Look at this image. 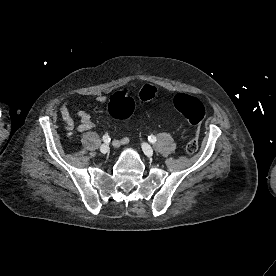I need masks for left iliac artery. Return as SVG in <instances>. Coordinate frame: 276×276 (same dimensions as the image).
<instances>
[{"label": "left iliac artery", "instance_id": "left-iliac-artery-1", "mask_svg": "<svg viewBox=\"0 0 276 276\" xmlns=\"http://www.w3.org/2000/svg\"><path fill=\"white\" fill-rule=\"evenodd\" d=\"M148 140L151 142V143H155L156 142V137L154 135H151L148 137Z\"/></svg>", "mask_w": 276, "mask_h": 276}]
</instances>
